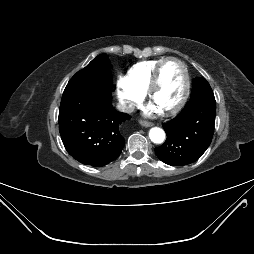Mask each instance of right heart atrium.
Here are the masks:
<instances>
[{
    "mask_svg": "<svg viewBox=\"0 0 254 254\" xmlns=\"http://www.w3.org/2000/svg\"><path fill=\"white\" fill-rule=\"evenodd\" d=\"M116 93L123 109L129 110L132 106L144 99V93L139 91L125 75H120L116 81Z\"/></svg>",
    "mask_w": 254,
    "mask_h": 254,
    "instance_id": "1",
    "label": "right heart atrium"
}]
</instances>
